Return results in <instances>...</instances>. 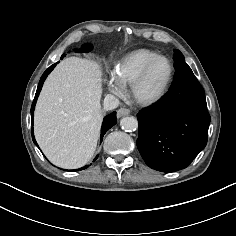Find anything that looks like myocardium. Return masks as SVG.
I'll return each mask as SVG.
<instances>
[{
    "instance_id": "f54148a6",
    "label": "myocardium",
    "mask_w": 236,
    "mask_h": 236,
    "mask_svg": "<svg viewBox=\"0 0 236 236\" xmlns=\"http://www.w3.org/2000/svg\"><path fill=\"white\" fill-rule=\"evenodd\" d=\"M159 60H166L169 64V76L168 79L162 88V90L154 95V96H146L141 93V86L143 82L145 81L148 73L150 72L151 68L159 61ZM174 78V65L173 62L166 56L158 55L157 57L150 60L140 71V73L137 75L133 83L131 84V90L133 97L136 99L137 102L143 104V105H152L155 103L160 102L169 92L170 87L172 85Z\"/></svg>"
}]
</instances>
